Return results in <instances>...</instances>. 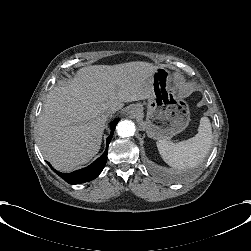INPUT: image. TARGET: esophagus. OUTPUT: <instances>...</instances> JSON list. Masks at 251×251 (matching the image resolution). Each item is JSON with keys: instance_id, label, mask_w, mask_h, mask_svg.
I'll return each instance as SVG.
<instances>
[{"instance_id": "esophagus-1", "label": "esophagus", "mask_w": 251, "mask_h": 251, "mask_svg": "<svg viewBox=\"0 0 251 251\" xmlns=\"http://www.w3.org/2000/svg\"><path fill=\"white\" fill-rule=\"evenodd\" d=\"M139 114V108L134 106L128 111V115L131 118H135Z\"/></svg>"}]
</instances>
